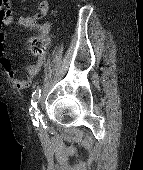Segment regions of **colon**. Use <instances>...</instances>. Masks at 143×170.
I'll return each instance as SVG.
<instances>
[{"instance_id": "obj_1", "label": "colon", "mask_w": 143, "mask_h": 170, "mask_svg": "<svg viewBox=\"0 0 143 170\" xmlns=\"http://www.w3.org/2000/svg\"><path fill=\"white\" fill-rule=\"evenodd\" d=\"M8 2V0H0V20L5 19L9 15ZM47 44L48 41L45 37H32L29 40L28 47L32 54L40 55L45 51Z\"/></svg>"}]
</instances>
